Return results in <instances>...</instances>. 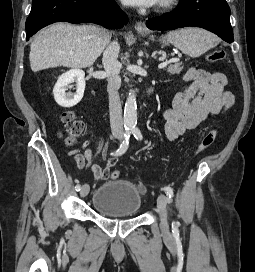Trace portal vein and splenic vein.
<instances>
[{"mask_svg":"<svg viewBox=\"0 0 255 272\" xmlns=\"http://www.w3.org/2000/svg\"><path fill=\"white\" fill-rule=\"evenodd\" d=\"M175 61H176L175 59H170V60L164 61L158 65V68L162 69V68L166 67L169 63H172Z\"/></svg>","mask_w":255,"mask_h":272,"instance_id":"1","label":"portal vein and splenic vein"}]
</instances>
